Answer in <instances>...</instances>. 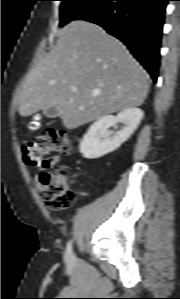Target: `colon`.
<instances>
[{"label": "colon", "instance_id": "colon-1", "mask_svg": "<svg viewBox=\"0 0 180 299\" xmlns=\"http://www.w3.org/2000/svg\"><path fill=\"white\" fill-rule=\"evenodd\" d=\"M40 126L38 118L30 123V129ZM72 151V142L68 134L59 129H47L34 141L23 144V158L26 165L36 167L42 164L44 157L57 152L68 155ZM42 199L52 210H62L70 207L76 199V194L68 182L63 169L55 172H44L40 177Z\"/></svg>", "mask_w": 180, "mask_h": 299}]
</instances>
